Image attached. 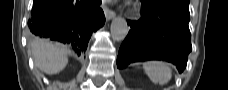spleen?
I'll return each mask as SVG.
<instances>
[{
	"instance_id": "obj_1",
	"label": "spleen",
	"mask_w": 228,
	"mask_h": 90,
	"mask_svg": "<svg viewBox=\"0 0 228 90\" xmlns=\"http://www.w3.org/2000/svg\"><path fill=\"white\" fill-rule=\"evenodd\" d=\"M143 68L153 83L166 84L172 77L169 65L163 61H149L143 64Z\"/></svg>"
}]
</instances>
